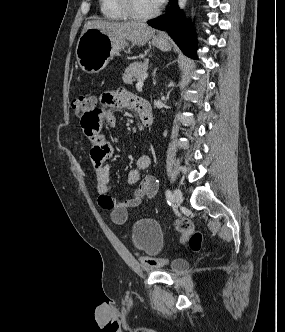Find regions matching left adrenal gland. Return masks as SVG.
<instances>
[{
	"label": "left adrenal gland",
	"instance_id": "left-adrenal-gland-1",
	"mask_svg": "<svg viewBox=\"0 0 285 332\" xmlns=\"http://www.w3.org/2000/svg\"><path fill=\"white\" fill-rule=\"evenodd\" d=\"M156 71H154L153 76L155 77ZM154 83L156 84V80L154 79Z\"/></svg>",
	"mask_w": 285,
	"mask_h": 332
}]
</instances>
